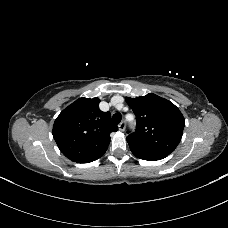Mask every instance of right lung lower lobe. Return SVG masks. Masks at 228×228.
Returning <instances> with one entry per match:
<instances>
[{
  "label": "right lung lower lobe",
  "mask_w": 228,
  "mask_h": 228,
  "mask_svg": "<svg viewBox=\"0 0 228 228\" xmlns=\"http://www.w3.org/2000/svg\"><path fill=\"white\" fill-rule=\"evenodd\" d=\"M104 153H105V152H104ZM104 153H101V154H99V155H97V156H95V157H93V158H90V159L85 160V161L80 162V163H88V162H92V161H94V160H96V159L100 158V157H101Z\"/></svg>",
  "instance_id": "1"
}]
</instances>
